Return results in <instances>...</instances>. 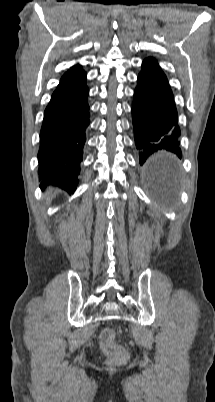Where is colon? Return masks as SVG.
<instances>
[{
  "label": "colon",
  "instance_id": "5ec220e1",
  "mask_svg": "<svg viewBox=\"0 0 215 402\" xmlns=\"http://www.w3.org/2000/svg\"><path fill=\"white\" fill-rule=\"evenodd\" d=\"M116 332L112 328H105L100 334V346L111 363L122 364L128 359L127 350L115 342Z\"/></svg>",
  "mask_w": 215,
  "mask_h": 402
}]
</instances>
